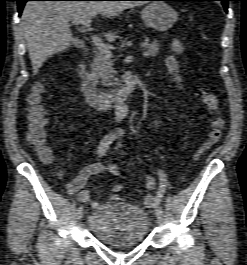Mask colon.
<instances>
[{
  "mask_svg": "<svg viewBox=\"0 0 247 265\" xmlns=\"http://www.w3.org/2000/svg\"><path fill=\"white\" fill-rule=\"evenodd\" d=\"M184 52V45L181 40L176 39L172 43V51L167 59L168 66L177 81L182 85L180 77V60ZM43 85L37 83L34 85L32 92L28 96V134L27 139L32 144L40 158L44 161H49L52 157L49 147L46 145L47 140V118L46 112L43 107ZM196 95L203 103L210 108L215 107L213 111L214 116L212 119L211 130L202 144L199 146L195 159H199L205 152L211 149L222 137L224 130V120L219 115V104L214 95L206 91L196 89ZM109 171L114 176L120 175V169L116 164L109 165Z\"/></svg>",
  "mask_w": 247,
  "mask_h": 265,
  "instance_id": "5ec220e1",
  "label": "colon"
}]
</instances>
